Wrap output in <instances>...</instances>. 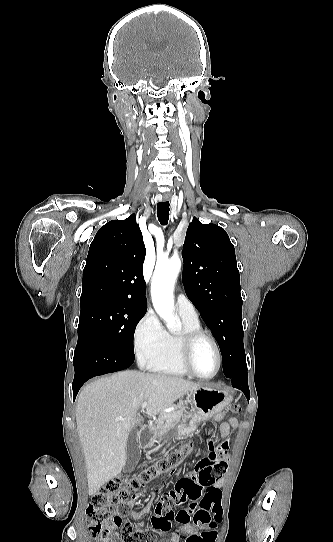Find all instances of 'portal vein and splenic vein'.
I'll list each match as a JSON object with an SVG mask.
<instances>
[{
  "mask_svg": "<svg viewBox=\"0 0 333 542\" xmlns=\"http://www.w3.org/2000/svg\"><path fill=\"white\" fill-rule=\"evenodd\" d=\"M147 406V402H144L141 406V412H144L145 408ZM123 420H127V418H117L116 422H123Z\"/></svg>",
  "mask_w": 333,
  "mask_h": 542,
  "instance_id": "1",
  "label": "portal vein and splenic vein"
}]
</instances>
